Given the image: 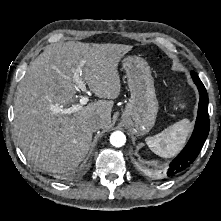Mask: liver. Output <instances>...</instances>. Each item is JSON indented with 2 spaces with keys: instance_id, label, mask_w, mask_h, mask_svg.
<instances>
[{
  "instance_id": "obj_1",
  "label": "liver",
  "mask_w": 221,
  "mask_h": 221,
  "mask_svg": "<svg viewBox=\"0 0 221 221\" xmlns=\"http://www.w3.org/2000/svg\"><path fill=\"white\" fill-rule=\"evenodd\" d=\"M131 49L130 45L70 41L47 47L30 63L14 100V130L29 160L53 173L78 166L92 141L89 120L101 119L102 129L111 124L112 99L121 89L118 64ZM79 67L95 96L108 100L89 103L71 114L54 111L53 107L74 105L78 87L73 73Z\"/></svg>"
}]
</instances>
